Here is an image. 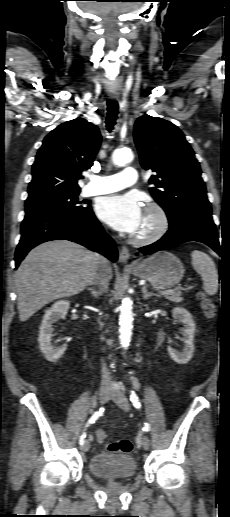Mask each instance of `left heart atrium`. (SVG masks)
I'll return each mask as SVG.
<instances>
[{"instance_id":"1","label":"left heart atrium","mask_w":230,"mask_h":517,"mask_svg":"<svg viewBox=\"0 0 230 517\" xmlns=\"http://www.w3.org/2000/svg\"><path fill=\"white\" fill-rule=\"evenodd\" d=\"M98 217L112 228L135 233L141 225L143 208L136 195H113L99 200L96 206Z\"/></svg>"}]
</instances>
